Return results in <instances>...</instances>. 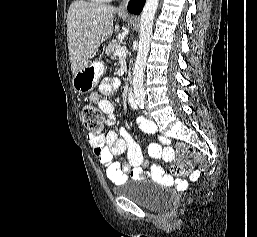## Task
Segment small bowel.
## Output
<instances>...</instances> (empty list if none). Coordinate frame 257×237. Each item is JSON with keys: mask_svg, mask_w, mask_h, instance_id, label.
<instances>
[{"mask_svg": "<svg viewBox=\"0 0 257 237\" xmlns=\"http://www.w3.org/2000/svg\"><path fill=\"white\" fill-rule=\"evenodd\" d=\"M119 85L118 79L106 77L100 84L99 92H94L89 96L90 102L96 103L101 112L106 115V123L110 126L115 123L114 105L108 99L102 98V95L112 94ZM137 121L143 132H155L154 123L144 118H138ZM87 138L95 156L105 167L107 177L113 183L122 184L126 181L127 174H130V177L134 180H142L149 177L163 183L173 180L159 165H153L150 170L142 168L145 164L142 150L124 128L111 129L104 135L99 136L89 134ZM168 142V138L158 137V142L151 143L148 146L149 154L154 158L171 160L173 158L172 149L162 147V144ZM124 155L127 157V162L121 165L115 158ZM198 175L199 173L195 172L191 176V180L197 179Z\"/></svg>", "mask_w": 257, "mask_h": 237, "instance_id": "obj_1", "label": "small bowel"}]
</instances>
